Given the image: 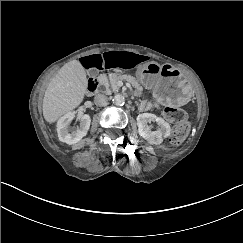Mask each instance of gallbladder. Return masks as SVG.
I'll return each mask as SVG.
<instances>
[{"mask_svg":"<svg viewBox=\"0 0 243 243\" xmlns=\"http://www.w3.org/2000/svg\"><path fill=\"white\" fill-rule=\"evenodd\" d=\"M97 73V70L95 68H90L89 69V74L90 75H95Z\"/></svg>","mask_w":243,"mask_h":243,"instance_id":"bac80fb5","label":"gallbladder"}]
</instances>
